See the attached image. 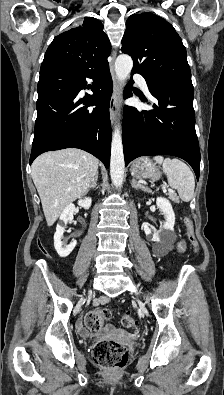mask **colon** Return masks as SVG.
I'll return each mask as SVG.
<instances>
[{
  "label": "colon",
  "mask_w": 224,
  "mask_h": 395,
  "mask_svg": "<svg viewBox=\"0 0 224 395\" xmlns=\"http://www.w3.org/2000/svg\"><path fill=\"white\" fill-rule=\"evenodd\" d=\"M187 227V238L194 248L197 249L198 242L194 236L192 224L189 219H185ZM111 318L107 309H94L90 311L86 318L85 324L91 331L100 330ZM121 324L130 329H136L137 324L129 315L121 316ZM93 358L95 362L111 370L123 368L129 357V351L126 346L114 341H98L93 346Z\"/></svg>",
  "instance_id": "colon-1"
}]
</instances>
